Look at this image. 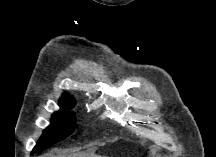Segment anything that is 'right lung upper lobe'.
Returning <instances> with one entry per match:
<instances>
[{"mask_svg":"<svg viewBox=\"0 0 216 157\" xmlns=\"http://www.w3.org/2000/svg\"><path fill=\"white\" fill-rule=\"evenodd\" d=\"M65 97L67 98V97H71V96H69V95H67V94H64L62 98H65ZM71 98H72V97H71ZM60 99H61V98H60Z\"/></svg>","mask_w":216,"mask_h":157,"instance_id":"1","label":"right lung upper lobe"}]
</instances>
